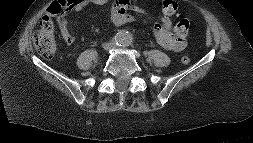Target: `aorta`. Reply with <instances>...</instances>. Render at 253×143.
<instances>
[{
    "label": "aorta",
    "mask_w": 253,
    "mask_h": 143,
    "mask_svg": "<svg viewBox=\"0 0 253 143\" xmlns=\"http://www.w3.org/2000/svg\"><path fill=\"white\" fill-rule=\"evenodd\" d=\"M131 40V34L127 31H120L118 33V42L122 45L127 44Z\"/></svg>",
    "instance_id": "762f6f07"
}]
</instances>
